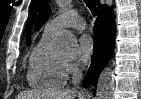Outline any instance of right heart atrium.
<instances>
[{
	"label": "right heart atrium",
	"mask_w": 141,
	"mask_h": 99,
	"mask_svg": "<svg viewBox=\"0 0 141 99\" xmlns=\"http://www.w3.org/2000/svg\"><path fill=\"white\" fill-rule=\"evenodd\" d=\"M66 72L72 76H75L78 73V68L74 63L67 62L66 63Z\"/></svg>",
	"instance_id": "obj_1"
}]
</instances>
